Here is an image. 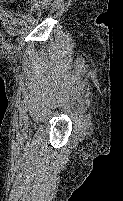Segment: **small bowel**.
<instances>
[{
  "label": "small bowel",
  "instance_id": "1",
  "mask_svg": "<svg viewBox=\"0 0 123 201\" xmlns=\"http://www.w3.org/2000/svg\"><path fill=\"white\" fill-rule=\"evenodd\" d=\"M3 1H6V2H11V1H14V0H3Z\"/></svg>",
  "mask_w": 123,
  "mask_h": 201
}]
</instances>
